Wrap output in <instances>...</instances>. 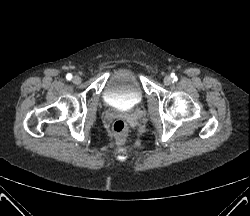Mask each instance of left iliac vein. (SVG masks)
Instances as JSON below:
<instances>
[{
  "instance_id": "1",
  "label": "left iliac vein",
  "mask_w": 250,
  "mask_h": 216,
  "mask_svg": "<svg viewBox=\"0 0 250 216\" xmlns=\"http://www.w3.org/2000/svg\"><path fill=\"white\" fill-rule=\"evenodd\" d=\"M172 83V78L170 76H165L164 78V84L165 85H170Z\"/></svg>"
}]
</instances>
